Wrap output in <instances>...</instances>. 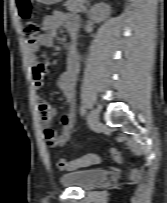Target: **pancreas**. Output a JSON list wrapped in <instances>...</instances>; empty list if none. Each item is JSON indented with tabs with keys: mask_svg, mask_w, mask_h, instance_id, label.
Masks as SVG:
<instances>
[{
	"mask_svg": "<svg viewBox=\"0 0 167 203\" xmlns=\"http://www.w3.org/2000/svg\"><path fill=\"white\" fill-rule=\"evenodd\" d=\"M85 0H67L64 6L72 13H79L85 11Z\"/></svg>",
	"mask_w": 167,
	"mask_h": 203,
	"instance_id": "pancreas-1",
	"label": "pancreas"
}]
</instances>
